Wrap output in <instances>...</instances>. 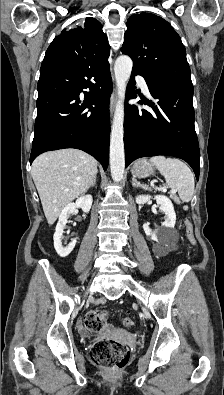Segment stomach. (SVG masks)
<instances>
[{"label": "stomach", "instance_id": "obj_1", "mask_svg": "<svg viewBox=\"0 0 224 395\" xmlns=\"http://www.w3.org/2000/svg\"><path fill=\"white\" fill-rule=\"evenodd\" d=\"M132 175L137 178H145L154 174L155 170L146 159H139L132 167Z\"/></svg>", "mask_w": 224, "mask_h": 395}]
</instances>
